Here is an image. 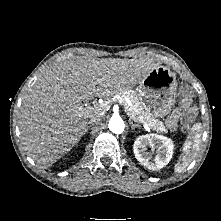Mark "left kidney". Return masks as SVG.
I'll return each instance as SVG.
<instances>
[{"instance_id":"left-kidney-1","label":"left kidney","mask_w":221,"mask_h":221,"mask_svg":"<svg viewBox=\"0 0 221 221\" xmlns=\"http://www.w3.org/2000/svg\"><path fill=\"white\" fill-rule=\"evenodd\" d=\"M147 147H151L152 150L156 149L154 158L146 151ZM173 148L174 145L171 139L158 134H147L136 138L133 152L140 164L150 170H159L171 160Z\"/></svg>"}]
</instances>
